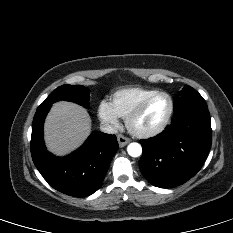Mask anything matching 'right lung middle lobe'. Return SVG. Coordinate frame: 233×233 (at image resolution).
Segmentation results:
<instances>
[{
  "instance_id": "dd1d6c3e",
  "label": "right lung middle lobe",
  "mask_w": 233,
  "mask_h": 233,
  "mask_svg": "<svg viewBox=\"0 0 233 233\" xmlns=\"http://www.w3.org/2000/svg\"><path fill=\"white\" fill-rule=\"evenodd\" d=\"M90 90L84 86L62 85L56 88L41 104V106L52 105V103L66 100L90 108Z\"/></svg>"
}]
</instances>
